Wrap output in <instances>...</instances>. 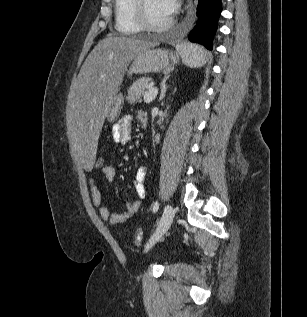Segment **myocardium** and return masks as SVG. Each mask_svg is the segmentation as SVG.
Here are the masks:
<instances>
[{
  "label": "myocardium",
  "instance_id": "1",
  "mask_svg": "<svg viewBox=\"0 0 307 317\" xmlns=\"http://www.w3.org/2000/svg\"><path fill=\"white\" fill-rule=\"evenodd\" d=\"M134 9L136 19L143 30L150 32H164L174 24L172 18L162 25L153 24L148 18L146 0H134Z\"/></svg>",
  "mask_w": 307,
  "mask_h": 317
}]
</instances>
